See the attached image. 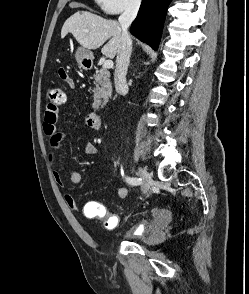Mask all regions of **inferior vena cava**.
Wrapping results in <instances>:
<instances>
[{"mask_svg":"<svg viewBox=\"0 0 249 294\" xmlns=\"http://www.w3.org/2000/svg\"><path fill=\"white\" fill-rule=\"evenodd\" d=\"M141 0H132L119 17V25L122 31L121 49L117 55L116 69L114 74V82L117 93H128V85L126 75L132 52V40L128 32V28L137 16Z\"/></svg>","mask_w":249,"mask_h":294,"instance_id":"1","label":"inferior vena cava"}]
</instances>
